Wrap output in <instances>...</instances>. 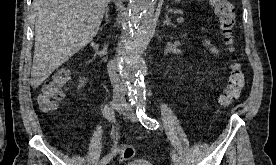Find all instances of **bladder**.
Returning a JSON list of instances; mask_svg holds the SVG:
<instances>
[{"mask_svg":"<svg viewBox=\"0 0 276 165\" xmlns=\"http://www.w3.org/2000/svg\"><path fill=\"white\" fill-rule=\"evenodd\" d=\"M126 165H152L151 163H149L146 160L143 159H135L133 161H130L129 163H127Z\"/></svg>","mask_w":276,"mask_h":165,"instance_id":"1","label":"bladder"}]
</instances>
